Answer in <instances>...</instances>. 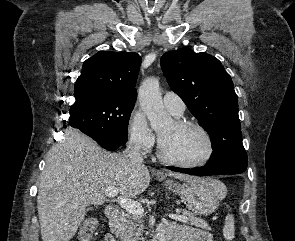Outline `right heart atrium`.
I'll return each mask as SVG.
<instances>
[{"label": "right heart atrium", "instance_id": "1", "mask_svg": "<svg viewBox=\"0 0 295 241\" xmlns=\"http://www.w3.org/2000/svg\"><path fill=\"white\" fill-rule=\"evenodd\" d=\"M128 141L136 150L147 153L155 145V135L145 116L139 110H133L128 119Z\"/></svg>", "mask_w": 295, "mask_h": 241}]
</instances>
